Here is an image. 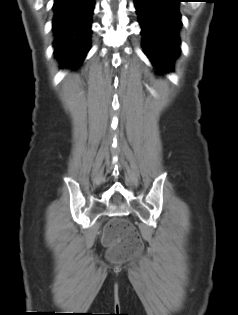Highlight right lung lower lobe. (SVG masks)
I'll return each instance as SVG.
<instances>
[{
	"label": "right lung lower lobe",
	"mask_w": 238,
	"mask_h": 315,
	"mask_svg": "<svg viewBox=\"0 0 238 315\" xmlns=\"http://www.w3.org/2000/svg\"><path fill=\"white\" fill-rule=\"evenodd\" d=\"M94 0H54V55L63 67H80L91 43Z\"/></svg>",
	"instance_id": "1"
}]
</instances>
